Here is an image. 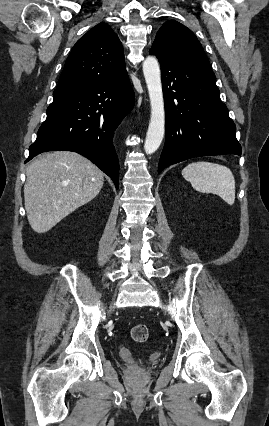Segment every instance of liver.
<instances>
[{
	"label": "liver",
	"instance_id": "6515ba94",
	"mask_svg": "<svg viewBox=\"0 0 269 426\" xmlns=\"http://www.w3.org/2000/svg\"><path fill=\"white\" fill-rule=\"evenodd\" d=\"M26 175L25 209L29 224L37 233L48 232L93 200L104 184L100 169L69 151L40 155L27 167Z\"/></svg>",
	"mask_w": 269,
	"mask_h": 426
}]
</instances>
